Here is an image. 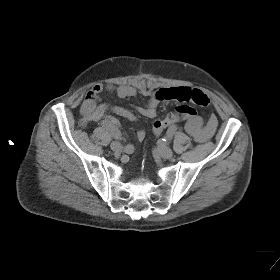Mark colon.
<instances>
[{
    "label": "colon",
    "mask_w": 280,
    "mask_h": 280,
    "mask_svg": "<svg viewBox=\"0 0 280 280\" xmlns=\"http://www.w3.org/2000/svg\"><path fill=\"white\" fill-rule=\"evenodd\" d=\"M195 114V109L190 105H179L176 107L174 112L167 114L163 119L157 120L153 123V133L155 136H159L166 128L170 127L172 124L189 119Z\"/></svg>",
    "instance_id": "colon-1"
}]
</instances>
